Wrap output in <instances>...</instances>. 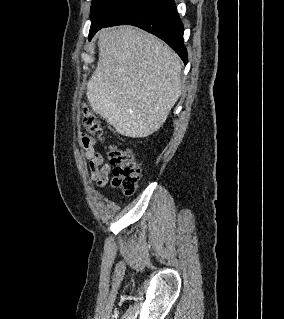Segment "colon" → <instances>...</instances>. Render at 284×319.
Returning <instances> with one entry per match:
<instances>
[{
	"mask_svg": "<svg viewBox=\"0 0 284 319\" xmlns=\"http://www.w3.org/2000/svg\"><path fill=\"white\" fill-rule=\"evenodd\" d=\"M81 121L88 133L103 139V128L93 114L84 111ZM108 158L113 166V186L120 189L125 195H132L137 189L140 178V168L135 161L132 149H121L116 145H110Z\"/></svg>",
	"mask_w": 284,
	"mask_h": 319,
	"instance_id": "1",
	"label": "colon"
}]
</instances>
